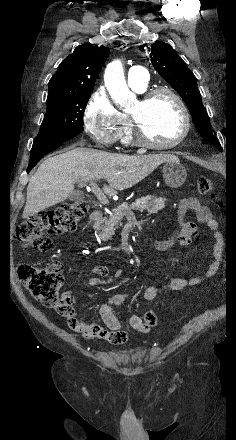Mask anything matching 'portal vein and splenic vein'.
I'll return each instance as SVG.
<instances>
[{
    "instance_id": "obj_1",
    "label": "portal vein and splenic vein",
    "mask_w": 236,
    "mask_h": 440,
    "mask_svg": "<svg viewBox=\"0 0 236 440\" xmlns=\"http://www.w3.org/2000/svg\"><path fill=\"white\" fill-rule=\"evenodd\" d=\"M80 185L84 186V185H86V182H82ZM91 186H92L91 187L92 192L96 195L99 202L104 205H107L109 203V200L107 199L106 195H104V193L100 190V188L97 186V184L95 182H92Z\"/></svg>"
}]
</instances>
